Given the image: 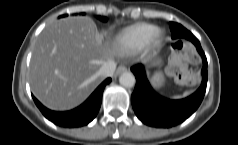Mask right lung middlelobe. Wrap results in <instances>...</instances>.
I'll list each match as a JSON object with an SVG mask.
<instances>
[{"instance_id":"right-lung-middle-lobe-1","label":"right lung middle lobe","mask_w":238,"mask_h":145,"mask_svg":"<svg viewBox=\"0 0 238 145\" xmlns=\"http://www.w3.org/2000/svg\"><path fill=\"white\" fill-rule=\"evenodd\" d=\"M98 18L101 19L102 21H106L107 20L105 17H98Z\"/></svg>"}]
</instances>
